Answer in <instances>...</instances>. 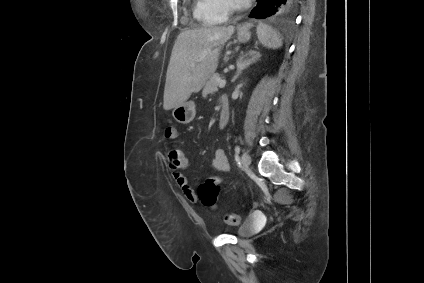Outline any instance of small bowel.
<instances>
[{
  "instance_id": "obj_1",
  "label": "small bowel",
  "mask_w": 424,
  "mask_h": 283,
  "mask_svg": "<svg viewBox=\"0 0 424 283\" xmlns=\"http://www.w3.org/2000/svg\"><path fill=\"white\" fill-rule=\"evenodd\" d=\"M189 166V159L186 158V164L179 169H171L173 179L175 180L178 187L183 192L184 196L192 203L197 202V195L193 187L191 186L189 179L181 172ZM211 166L213 169L220 172H228L230 169V163L228 157L223 149H217L214 154Z\"/></svg>"
}]
</instances>
